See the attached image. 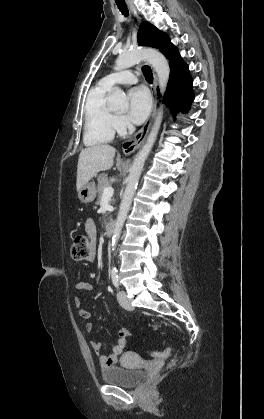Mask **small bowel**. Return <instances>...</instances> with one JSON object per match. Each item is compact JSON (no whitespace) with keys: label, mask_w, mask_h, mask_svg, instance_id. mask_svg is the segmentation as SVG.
I'll return each mask as SVG.
<instances>
[{"label":"small bowel","mask_w":264,"mask_h":419,"mask_svg":"<svg viewBox=\"0 0 264 419\" xmlns=\"http://www.w3.org/2000/svg\"><path fill=\"white\" fill-rule=\"evenodd\" d=\"M84 228L90 241V254L85 260L92 261L96 255L97 227L95 222L92 219H89L85 222ZM93 289V284L87 281H80L76 284V290L81 293L89 294ZM75 304L80 317L84 320H89L91 318V313L83 306L82 299L77 298ZM86 330L89 333L94 331V325L92 322L86 323ZM129 334L130 331L128 328H119L116 332V340L109 353H103L101 343L96 341L91 342L92 348L100 356V364L103 367L113 366L118 362L119 356L122 354L126 347V338Z\"/></svg>","instance_id":"obj_1"}]
</instances>
